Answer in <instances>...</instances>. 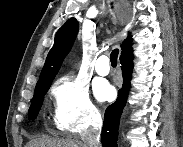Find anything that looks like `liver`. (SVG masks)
I'll return each instance as SVG.
<instances>
[{
    "mask_svg": "<svg viewBox=\"0 0 183 147\" xmlns=\"http://www.w3.org/2000/svg\"><path fill=\"white\" fill-rule=\"evenodd\" d=\"M27 147H86V144L72 139H54L43 137L30 141Z\"/></svg>",
    "mask_w": 183,
    "mask_h": 147,
    "instance_id": "liver-1",
    "label": "liver"
}]
</instances>
